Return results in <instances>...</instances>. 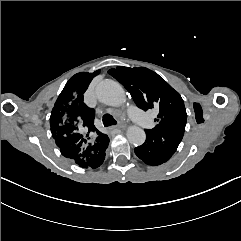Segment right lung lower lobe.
<instances>
[{
    "label": "right lung lower lobe",
    "mask_w": 241,
    "mask_h": 241,
    "mask_svg": "<svg viewBox=\"0 0 241 241\" xmlns=\"http://www.w3.org/2000/svg\"><path fill=\"white\" fill-rule=\"evenodd\" d=\"M108 143H109V138L107 136V138L103 142L95 144V146L97 147L96 150L91 152H84V154L89 155V157L86 158L83 163L81 164L76 163V164L82 168L94 169L99 167L105 159V151L108 147Z\"/></svg>",
    "instance_id": "1"
}]
</instances>
